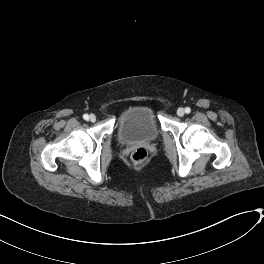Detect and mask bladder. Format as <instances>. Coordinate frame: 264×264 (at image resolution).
<instances>
[{
	"mask_svg": "<svg viewBox=\"0 0 264 264\" xmlns=\"http://www.w3.org/2000/svg\"><path fill=\"white\" fill-rule=\"evenodd\" d=\"M160 134L161 128L157 118L148 106H132L120 117L117 139L122 144L153 142Z\"/></svg>",
	"mask_w": 264,
	"mask_h": 264,
	"instance_id": "obj_1",
	"label": "bladder"
}]
</instances>
